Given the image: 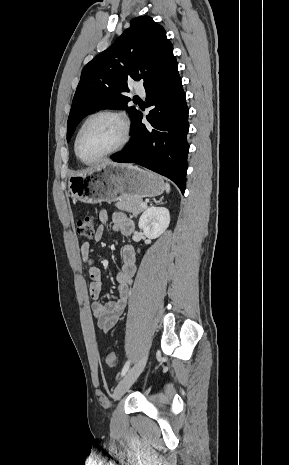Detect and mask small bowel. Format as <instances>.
<instances>
[{
  "instance_id": "small-bowel-1",
  "label": "small bowel",
  "mask_w": 289,
  "mask_h": 465,
  "mask_svg": "<svg viewBox=\"0 0 289 465\" xmlns=\"http://www.w3.org/2000/svg\"><path fill=\"white\" fill-rule=\"evenodd\" d=\"M99 220L101 224L96 229L94 236L96 241H101L106 234L105 225L109 221V214L106 210L99 212ZM111 220L113 231L120 232L126 236L132 234L134 229L133 222L124 213L114 212ZM90 251L91 244L89 242L82 243L80 253L82 260L88 265V289L91 298L94 300L92 303V312L98 327L104 332H108L118 322L127 305L130 287L136 271L135 251L131 245L123 246L121 250V266L116 276L117 296L115 299L105 303L99 300L101 296V272L99 268L93 265L89 257Z\"/></svg>"
}]
</instances>
